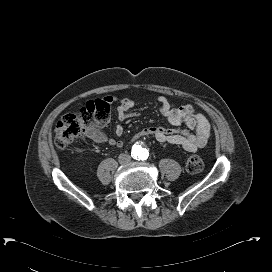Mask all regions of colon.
<instances>
[{
	"label": "colon",
	"instance_id": "5ec220e1",
	"mask_svg": "<svg viewBox=\"0 0 272 272\" xmlns=\"http://www.w3.org/2000/svg\"><path fill=\"white\" fill-rule=\"evenodd\" d=\"M110 118V102L106 98L87 101L71 113L64 115L55 127L54 143L58 149L70 146L92 129L106 125ZM203 161L198 155H191L186 170L191 174L202 172Z\"/></svg>",
	"mask_w": 272,
	"mask_h": 272
}]
</instances>
